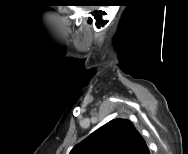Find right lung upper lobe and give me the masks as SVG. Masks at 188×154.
<instances>
[{
    "mask_svg": "<svg viewBox=\"0 0 188 154\" xmlns=\"http://www.w3.org/2000/svg\"><path fill=\"white\" fill-rule=\"evenodd\" d=\"M70 154H150L131 121L115 119L77 144Z\"/></svg>",
    "mask_w": 188,
    "mask_h": 154,
    "instance_id": "right-lung-upper-lobe-1",
    "label": "right lung upper lobe"
}]
</instances>
